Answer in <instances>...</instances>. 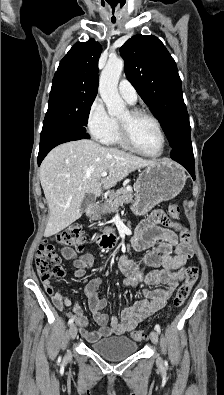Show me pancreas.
I'll list each match as a JSON object with an SVG mask.
<instances>
[{
    "mask_svg": "<svg viewBox=\"0 0 224 395\" xmlns=\"http://www.w3.org/2000/svg\"><path fill=\"white\" fill-rule=\"evenodd\" d=\"M134 197L135 194L133 193L132 189H128L127 187L118 189L117 191L112 192L109 199H107L103 204L104 212L111 214L115 212L120 206L133 202Z\"/></svg>",
    "mask_w": 224,
    "mask_h": 395,
    "instance_id": "1",
    "label": "pancreas"
}]
</instances>
